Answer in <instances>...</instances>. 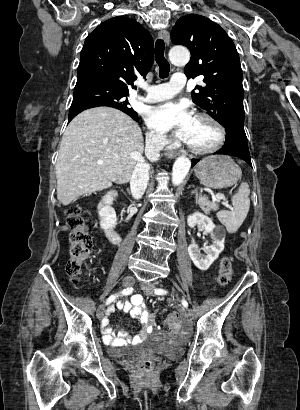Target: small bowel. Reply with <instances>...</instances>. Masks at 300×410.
I'll return each instance as SVG.
<instances>
[{
	"label": "small bowel",
	"instance_id": "obj_1",
	"mask_svg": "<svg viewBox=\"0 0 300 410\" xmlns=\"http://www.w3.org/2000/svg\"><path fill=\"white\" fill-rule=\"evenodd\" d=\"M122 310L136 318L142 325L141 330L133 337L127 335L121 328L117 333H114L109 326L108 316L115 312V310ZM155 331L154 317L146 309V304L141 295H134L129 302H118L112 305L107 310V315L102 323V332L104 340L112 345H122L129 341L140 342L143 341L149 334Z\"/></svg>",
	"mask_w": 300,
	"mask_h": 410
}]
</instances>
